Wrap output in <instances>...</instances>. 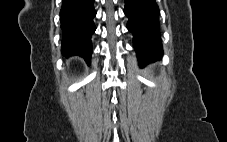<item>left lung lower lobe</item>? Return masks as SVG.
<instances>
[{
    "label": "left lung lower lobe",
    "instance_id": "left-lung-lower-lobe-1",
    "mask_svg": "<svg viewBox=\"0 0 227 142\" xmlns=\"http://www.w3.org/2000/svg\"><path fill=\"white\" fill-rule=\"evenodd\" d=\"M127 29L133 34L134 48L140 64L162 56L159 34V8L155 0H125Z\"/></svg>",
    "mask_w": 227,
    "mask_h": 142
}]
</instances>
